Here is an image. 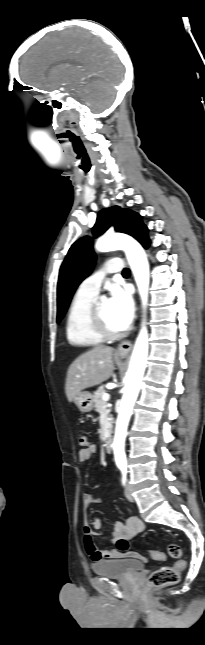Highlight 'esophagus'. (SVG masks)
<instances>
[{
  "mask_svg": "<svg viewBox=\"0 0 205 645\" xmlns=\"http://www.w3.org/2000/svg\"><path fill=\"white\" fill-rule=\"evenodd\" d=\"M131 348H132L131 340H124L118 345L116 352L120 355H126L130 352Z\"/></svg>",
  "mask_w": 205,
  "mask_h": 645,
  "instance_id": "1",
  "label": "esophagus"
}]
</instances>
